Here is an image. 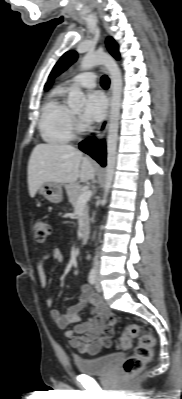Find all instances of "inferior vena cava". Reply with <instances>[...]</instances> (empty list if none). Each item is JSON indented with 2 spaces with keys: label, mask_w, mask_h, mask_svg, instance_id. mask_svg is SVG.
Segmentation results:
<instances>
[{
  "label": "inferior vena cava",
  "mask_w": 182,
  "mask_h": 399,
  "mask_svg": "<svg viewBox=\"0 0 182 399\" xmlns=\"http://www.w3.org/2000/svg\"><path fill=\"white\" fill-rule=\"evenodd\" d=\"M94 265H95V268H98V266H99L98 256L95 257Z\"/></svg>",
  "instance_id": "obj_1"
}]
</instances>
